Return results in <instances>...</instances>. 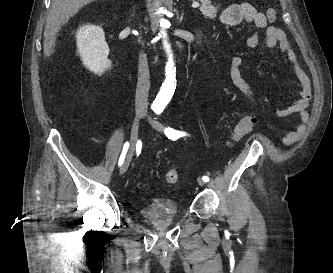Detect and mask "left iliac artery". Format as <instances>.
<instances>
[{
  "label": "left iliac artery",
  "mask_w": 333,
  "mask_h": 273,
  "mask_svg": "<svg viewBox=\"0 0 333 273\" xmlns=\"http://www.w3.org/2000/svg\"><path fill=\"white\" fill-rule=\"evenodd\" d=\"M157 112V114H160L161 111H155ZM165 135L171 139V140H176L180 137H183V136H187L188 134L186 132H182V131H177V130H174L173 128H170V127H167L165 128V131H164ZM202 180H204L205 182H208L209 181V177L207 176H203L202 177Z\"/></svg>",
  "instance_id": "obj_1"
}]
</instances>
